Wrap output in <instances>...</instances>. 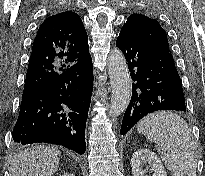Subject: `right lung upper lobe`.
<instances>
[{
	"label": "right lung upper lobe",
	"instance_id": "obj_1",
	"mask_svg": "<svg viewBox=\"0 0 205 176\" xmlns=\"http://www.w3.org/2000/svg\"><path fill=\"white\" fill-rule=\"evenodd\" d=\"M89 55L88 36L76 13L48 17L33 43L22 97Z\"/></svg>",
	"mask_w": 205,
	"mask_h": 176
}]
</instances>
